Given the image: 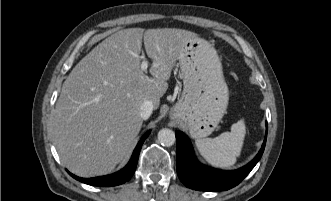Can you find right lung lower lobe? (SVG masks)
Here are the masks:
<instances>
[{"mask_svg":"<svg viewBox=\"0 0 331 201\" xmlns=\"http://www.w3.org/2000/svg\"><path fill=\"white\" fill-rule=\"evenodd\" d=\"M149 135V132L146 133L138 142L133 155L129 161V163L126 165L125 168H123L122 170L111 174V175H106V176H101V177H96V178H80L77 177L73 174H71L70 172H68L73 178H75L76 180L83 182L85 184L88 185H93V186H116V185H120L123 184L125 182H127L134 174L135 170H136V165L138 162V157H139V153L141 150V146L144 142V140L147 138V136Z\"/></svg>","mask_w":331,"mask_h":201,"instance_id":"98d812e1","label":"right lung lower lobe"}]
</instances>
